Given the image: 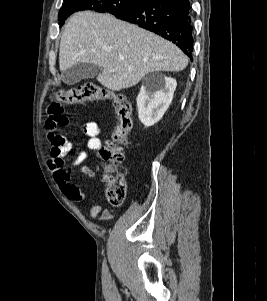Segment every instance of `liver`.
Segmentation results:
<instances>
[{"label": "liver", "mask_w": 267, "mask_h": 301, "mask_svg": "<svg viewBox=\"0 0 267 301\" xmlns=\"http://www.w3.org/2000/svg\"><path fill=\"white\" fill-rule=\"evenodd\" d=\"M80 62L102 67L98 82L112 91L136 85L154 71L178 72L187 56L173 43L110 14L75 13L61 37L59 67L63 72Z\"/></svg>", "instance_id": "1"}]
</instances>
